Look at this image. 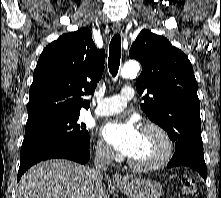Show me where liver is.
<instances>
[{
  "mask_svg": "<svg viewBox=\"0 0 221 198\" xmlns=\"http://www.w3.org/2000/svg\"><path fill=\"white\" fill-rule=\"evenodd\" d=\"M90 170L63 159L41 162L22 176L17 198H103L105 185L94 182Z\"/></svg>",
  "mask_w": 221,
  "mask_h": 198,
  "instance_id": "1",
  "label": "liver"
}]
</instances>
